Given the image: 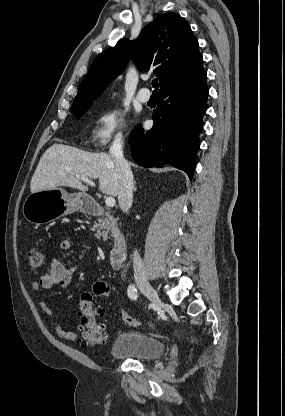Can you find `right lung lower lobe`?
I'll use <instances>...</instances> for the list:
<instances>
[{"instance_id": "1", "label": "right lung lower lobe", "mask_w": 285, "mask_h": 416, "mask_svg": "<svg viewBox=\"0 0 285 416\" xmlns=\"http://www.w3.org/2000/svg\"><path fill=\"white\" fill-rule=\"evenodd\" d=\"M207 96L206 72L159 92L152 129L145 132L139 125L130 134L133 159L144 167L169 163L191 180Z\"/></svg>"}]
</instances>
